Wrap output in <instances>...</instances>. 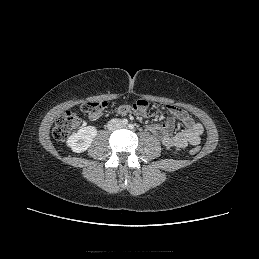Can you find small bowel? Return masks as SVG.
Listing matches in <instances>:
<instances>
[{
	"label": "small bowel",
	"mask_w": 259,
	"mask_h": 259,
	"mask_svg": "<svg viewBox=\"0 0 259 259\" xmlns=\"http://www.w3.org/2000/svg\"><path fill=\"white\" fill-rule=\"evenodd\" d=\"M167 111L170 114L168 122L150 124L147 126L148 131L155 134L166 147L185 148L188 145H199L204 131L202 124L180 107L168 105ZM175 119L183 124L184 129L173 132Z\"/></svg>",
	"instance_id": "1"
}]
</instances>
